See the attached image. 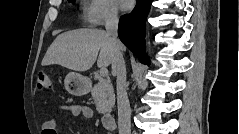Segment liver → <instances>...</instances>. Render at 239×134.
Segmentation results:
<instances>
[{
    "label": "liver",
    "mask_w": 239,
    "mask_h": 134,
    "mask_svg": "<svg viewBox=\"0 0 239 134\" xmlns=\"http://www.w3.org/2000/svg\"><path fill=\"white\" fill-rule=\"evenodd\" d=\"M114 56V47L107 32L83 28L58 35L48 48L42 65L57 64L70 70L84 72L89 70L96 60L101 68L109 66Z\"/></svg>",
    "instance_id": "liver-1"
}]
</instances>
